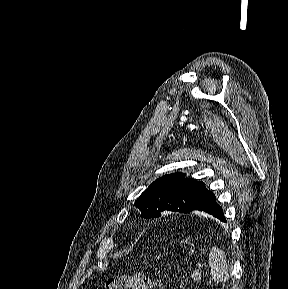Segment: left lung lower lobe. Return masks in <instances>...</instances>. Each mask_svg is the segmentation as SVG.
<instances>
[{
  "label": "left lung lower lobe",
  "instance_id": "1",
  "mask_svg": "<svg viewBox=\"0 0 288 289\" xmlns=\"http://www.w3.org/2000/svg\"><path fill=\"white\" fill-rule=\"evenodd\" d=\"M196 211H203L213 215L218 218L220 221L226 222L223 210L220 205L216 202L215 195L209 191L192 209ZM191 212V211H190ZM189 212V213H190Z\"/></svg>",
  "mask_w": 288,
  "mask_h": 289
}]
</instances>
